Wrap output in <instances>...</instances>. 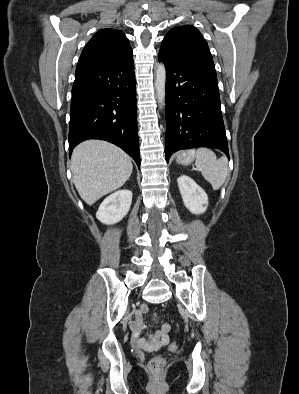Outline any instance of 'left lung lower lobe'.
Segmentation results:
<instances>
[{"mask_svg":"<svg viewBox=\"0 0 299 394\" xmlns=\"http://www.w3.org/2000/svg\"><path fill=\"white\" fill-rule=\"evenodd\" d=\"M158 60L166 67V161L194 147L217 148L229 157L214 63L175 61L160 52Z\"/></svg>","mask_w":299,"mask_h":394,"instance_id":"obj_1","label":"left lung lower lobe"}]
</instances>
